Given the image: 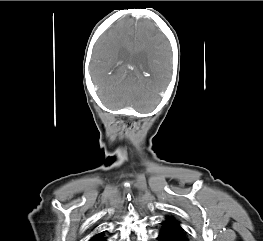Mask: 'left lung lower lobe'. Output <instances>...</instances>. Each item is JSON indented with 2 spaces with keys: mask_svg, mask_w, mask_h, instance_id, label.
<instances>
[{
  "mask_svg": "<svg viewBox=\"0 0 263 241\" xmlns=\"http://www.w3.org/2000/svg\"><path fill=\"white\" fill-rule=\"evenodd\" d=\"M162 230L159 233L160 241H188L181 227L165 220L162 222Z\"/></svg>",
  "mask_w": 263,
  "mask_h": 241,
  "instance_id": "left-lung-lower-lobe-1",
  "label": "left lung lower lobe"
}]
</instances>
